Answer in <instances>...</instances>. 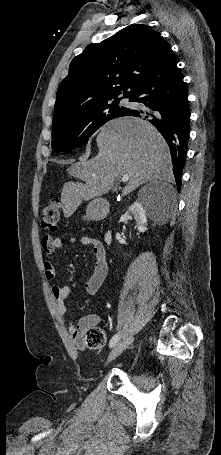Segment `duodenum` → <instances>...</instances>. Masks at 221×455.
<instances>
[{"label":"duodenum","instance_id":"1","mask_svg":"<svg viewBox=\"0 0 221 455\" xmlns=\"http://www.w3.org/2000/svg\"><path fill=\"white\" fill-rule=\"evenodd\" d=\"M107 213V208H106V205L103 204V205H99L96 207V212H95V215H96V218H102L106 215ZM105 241L109 244L111 243L112 241V234L110 231H108L106 234H105Z\"/></svg>","mask_w":221,"mask_h":455}]
</instances>
